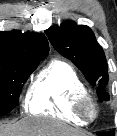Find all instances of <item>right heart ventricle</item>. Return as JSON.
<instances>
[{"label": "right heart ventricle", "instance_id": "obj_1", "mask_svg": "<svg viewBox=\"0 0 117 136\" xmlns=\"http://www.w3.org/2000/svg\"><path fill=\"white\" fill-rule=\"evenodd\" d=\"M88 94L75 68L68 62L55 59L42 68L32 80L24 102L32 115H45L76 125L85 121L73 112L76 101Z\"/></svg>", "mask_w": 117, "mask_h": 136}]
</instances>
